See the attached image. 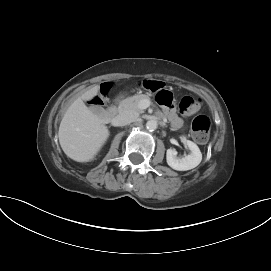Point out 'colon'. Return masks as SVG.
<instances>
[{"mask_svg": "<svg viewBox=\"0 0 271 271\" xmlns=\"http://www.w3.org/2000/svg\"><path fill=\"white\" fill-rule=\"evenodd\" d=\"M139 85L145 90L157 94V101L160 105L169 107L172 105L173 96L170 91H168L161 81L155 79H145L139 82ZM110 87L104 86L101 90L100 96L93 99L92 103L95 105H100L102 103V98L107 96ZM200 108V101L192 96H184L179 102V109L183 114H192L198 111ZM211 127V122L209 118L205 115L196 116L191 125L192 136L194 140L198 143H205L209 136V131Z\"/></svg>", "mask_w": 271, "mask_h": 271, "instance_id": "obj_1", "label": "colon"}]
</instances>
